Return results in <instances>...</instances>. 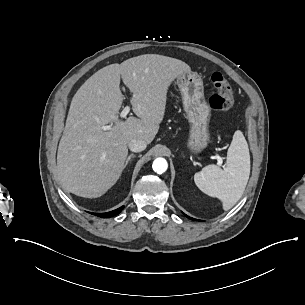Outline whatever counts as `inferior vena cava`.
Masks as SVG:
<instances>
[{"label":"inferior vena cava","instance_id":"inferior-vena-cava-1","mask_svg":"<svg viewBox=\"0 0 305 305\" xmlns=\"http://www.w3.org/2000/svg\"><path fill=\"white\" fill-rule=\"evenodd\" d=\"M128 147L131 151L140 152L146 148L147 143L143 140L130 139L127 142Z\"/></svg>","mask_w":305,"mask_h":305}]
</instances>
